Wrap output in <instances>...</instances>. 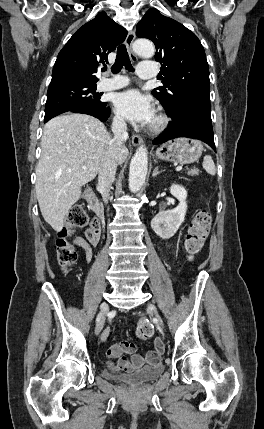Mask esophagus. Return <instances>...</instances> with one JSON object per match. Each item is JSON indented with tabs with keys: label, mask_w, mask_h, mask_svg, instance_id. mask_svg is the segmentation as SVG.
Segmentation results:
<instances>
[{
	"label": "esophagus",
	"mask_w": 264,
	"mask_h": 429,
	"mask_svg": "<svg viewBox=\"0 0 264 429\" xmlns=\"http://www.w3.org/2000/svg\"><path fill=\"white\" fill-rule=\"evenodd\" d=\"M134 39H135V32L134 31H130L127 34V36H126L125 44H126V47L128 49V52L130 54L131 59L133 61H136L137 57H136V55L132 51V45H133ZM131 142H132V144L134 146H139V145H141L143 143V139L139 135H137V134H132V136H131Z\"/></svg>",
	"instance_id": "esophagus-1"
}]
</instances>
